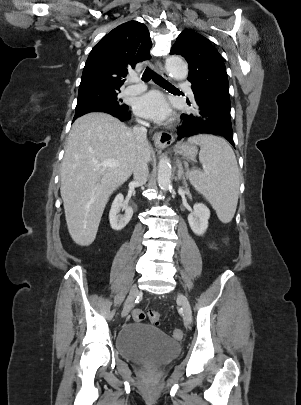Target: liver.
I'll use <instances>...</instances> for the list:
<instances>
[{
    "label": "liver",
    "mask_w": 301,
    "mask_h": 405,
    "mask_svg": "<svg viewBox=\"0 0 301 405\" xmlns=\"http://www.w3.org/2000/svg\"><path fill=\"white\" fill-rule=\"evenodd\" d=\"M152 147L138 144L130 128L105 113H89L72 125L61 168L60 193L72 239L81 246L96 238L111 194L131 176L138 156L151 160ZM116 160V168L102 167Z\"/></svg>",
    "instance_id": "6515ba94"
}]
</instances>
